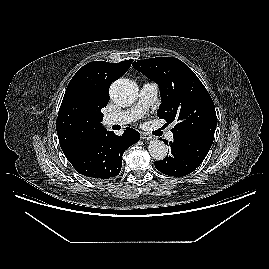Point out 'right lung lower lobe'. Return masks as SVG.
<instances>
[{
  "label": "right lung lower lobe",
  "instance_id": "right-lung-lower-lobe-1",
  "mask_svg": "<svg viewBox=\"0 0 269 269\" xmlns=\"http://www.w3.org/2000/svg\"><path fill=\"white\" fill-rule=\"evenodd\" d=\"M139 139V132L132 128H125L122 136L106 130L64 154L78 173L104 180L119 174L124 151Z\"/></svg>",
  "mask_w": 269,
  "mask_h": 269
}]
</instances>
